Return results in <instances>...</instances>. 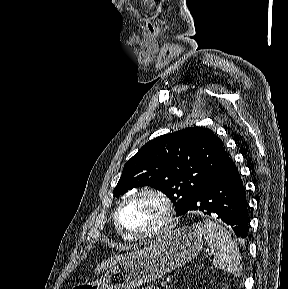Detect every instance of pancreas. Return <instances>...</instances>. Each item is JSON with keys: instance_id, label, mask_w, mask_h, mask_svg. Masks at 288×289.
<instances>
[{"instance_id": "1", "label": "pancreas", "mask_w": 288, "mask_h": 289, "mask_svg": "<svg viewBox=\"0 0 288 289\" xmlns=\"http://www.w3.org/2000/svg\"><path fill=\"white\" fill-rule=\"evenodd\" d=\"M145 289H159V288L155 285H149Z\"/></svg>"}]
</instances>
